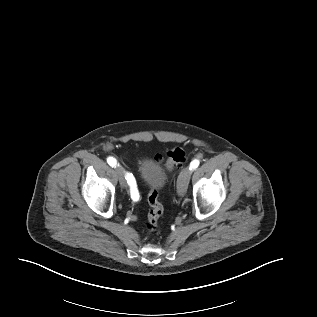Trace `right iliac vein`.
I'll use <instances>...</instances> for the list:
<instances>
[{
	"label": "right iliac vein",
	"instance_id": "obj_1",
	"mask_svg": "<svg viewBox=\"0 0 317 317\" xmlns=\"http://www.w3.org/2000/svg\"><path fill=\"white\" fill-rule=\"evenodd\" d=\"M116 173H117L120 185L127 189L128 185H127V182H126L125 172H124L123 168L118 165L116 167Z\"/></svg>",
	"mask_w": 317,
	"mask_h": 317
}]
</instances>
